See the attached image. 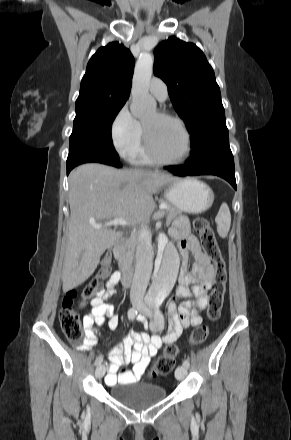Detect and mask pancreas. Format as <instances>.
<instances>
[{"instance_id": "cf45deb5", "label": "pancreas", "mask_w": 291, "mask_h": 440, "mask_svg": "<svg viewBox=\"0 0 291 440\" xmlns=\"http://www.w3.org/2000/svg\"><path fill=\"white\" fill-rule=\"evenodd\" d=\"M160 203L167 205L166 212V223L169 224L175 217L181 214V210L174 207L167 201L161 200ZM138 237L136 234H132L129 239L121 246V258L120 261L132 262L134 258V251L137 245Z\"/></svg>"}]
</instances>
